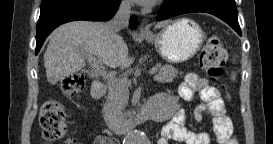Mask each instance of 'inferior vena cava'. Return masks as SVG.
I'll use <instances>...</instances> for the list:
<instances>
[{
	"label": "inferior vena cava",
	"mask_w": 273,
	"mask_h": 144,
	"mask_svg": "<svg viewBox=\"0 0 273 144\" xmlns=\"http://www.w3.org/2000/svg\"><path fill=\"white\" fill-rule=\"evenodd\" d=\"M131 13V3L129 0H122L118 11L113 19L109 22V30L113 35H117V32L129 24Z\"/></svg>",
	"instance_id": "inferior-vena-cava-1"
}]
</instances>
